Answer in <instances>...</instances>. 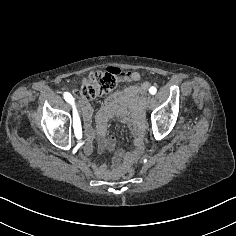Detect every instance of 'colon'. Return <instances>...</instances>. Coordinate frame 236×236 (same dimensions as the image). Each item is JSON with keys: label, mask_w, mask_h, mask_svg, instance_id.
<instances>
[{"label": "colon", "mask_w": 236, "mask_h": 236, "mask_svg": "<svg viewBox=\"0 0 236 236\" xmlns=\"http://www.w3.org/2000/svg\"><path fill=\"white\" fill-rule=\"evenodd\" d=\"M119 75L120 71L114 68H110L105 72H92L83 80L82 85L74 92V95L80 100H88L102 94H108L115 89L116 79ZM134 174V168L126 166L122 169L120 175L123 179H130Z\"/></svg>", "instance_id": "5ec220e1"}]
</instances>
